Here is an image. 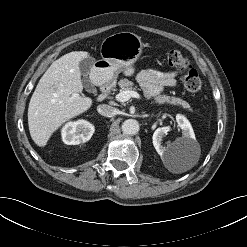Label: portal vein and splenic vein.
I'll list each match as a JSON object with an SVG mask.
<instances>
[{
    "mask_svg": "<svg viewBox=\"0 0 247 247\" xmlns=\"http://www.w3.org/2000/svg\"><path fill=\"white\" fill-rule=\"evenodd\" d=\"M131 97L132 98H137V99L141 98L139 93H137L136 91H129V90L121 91L115 96L116 100L119 101V102H126Z\"/></svg>",
    "mask_w": 247,
    "mask_h": 247,
    "instance_id": "1",
    "label": "portal vein and splenic vein"
}]
</instances>
